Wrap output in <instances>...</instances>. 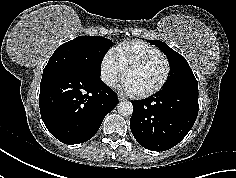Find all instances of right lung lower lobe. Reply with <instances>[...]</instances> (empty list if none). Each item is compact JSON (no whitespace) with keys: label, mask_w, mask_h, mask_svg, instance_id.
Returning <instances> with one entry per match:
<instances>
[{"label":"right lung lower lobe","mask_w":236,"mask_h":178,"mask_svg":"<svg viewBox=\"0 0 236 178\" xmlns=\"http://www.w3.org/2000/svg\"><path fill=\"white\" fill-rule=\"evenodd\" d=\"M117 104V94L100 77L61 70L42 75L41 117L49 132L62 143L88 141Z\"/></svg>","instance_id":"right-lung-lower-lobe-1"}]
</instances>
